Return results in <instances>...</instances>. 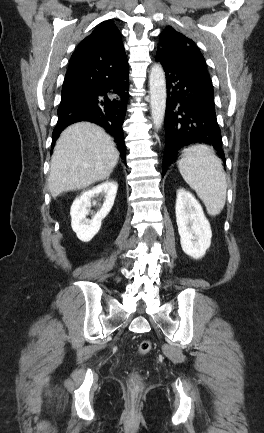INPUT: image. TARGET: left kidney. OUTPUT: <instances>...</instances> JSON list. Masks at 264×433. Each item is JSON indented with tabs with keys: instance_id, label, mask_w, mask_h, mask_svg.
Returning a JSON list of instances; mask_svg holds the SVG:
<instances>
[{
	"instance_id": "obj_1",
	"label": "left kidney",
	"mask_w": 264,
	"mask_h": 433,
	"mask_svg": "<svg viewBox=\"0 0 264 433\" xmlns=\"http://www.w3.org/2000/svg\"><path fill=\"white\" fill-rule=\"evenodd\" d=\"M175 212L182 250L193 259L202 258L211 245L212 231L200 203L180 188Z\"/></svg>"
}]
</instances>
